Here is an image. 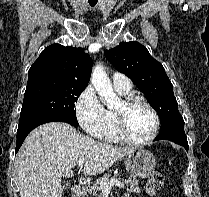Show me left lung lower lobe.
<instances>
[{
	"mask_svg": "<svg viewBox=\"0 0 209 197\" xmlns=\"http://www.w3.org/2000/svg\"><path fill=\"white\" fill-rule=\"evenodd\" d=\"M156 140H170L176 144L183 146L186 151L188 152V142L187 137L185 135L184 127H175L160 132L157 137L154 139Z\"/></svg>",
	"mask_w": 209,
	"mask_h": 197,
	"instance_id": "left-lung-lower-lobe-1",
	"label": "left lung lower lobe"
}]
</instances>
